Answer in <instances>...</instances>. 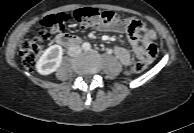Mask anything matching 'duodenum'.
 Wrapping results in <instances>:
<instances>
[{
  "label": "duodenum",
  "mask_w": 194,
  "mask_h": 133,
  "mask_svg": "<svg viewBox=\"0 0 194 133\" xmlns=\"http://www.w3.org/2000/svg\"><path fill=\"white\" fill-rule=\"evenodd\" d=\"M57 44L64 46V47H70L75 46L81 43V39L74 35L69 34H59L56 37Z\"/></svg>",
  "instance_id": "410a0bca"
}]
</instances>
